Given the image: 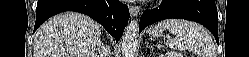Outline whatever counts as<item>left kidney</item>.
Wrapping results in <instances>:
<instances>
[{
	"instance_id": "5707ae66",
	"label": "left kidney",
	"mask_w": 249,
	"mask_h": 57,
	"mask_svg": "<svg viewBox=\"0 0 249 57\" xmlns=\"http://www.w3.org/2000/svg\"><path fill=\"white\" fill-rule=\"evenodd\" d=\"M159 57H183L181 53H178L176 51H168L165 54L159 55Z\"/></svg>"
}]
</instances>
